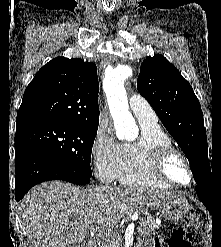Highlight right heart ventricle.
<instances>
[{
    "label": "right heart ventricle",
    "instance_id": "e07e8e85",
    "mask_svg": "<svg viewBox=\"0 0 221 247\" xmlns=\"http://www.w3.org/2000/svg\"><path fill=\"white\" fill-rule=\"evenodd\" d=\"M141 131L138 142L121 145L116 179L124 186L171 188V185L160 181L153 175L147 161L149 149L158 144L173 145L171 139L158 124H141Z\"/></svg>",
    "mask_w": 221,
    "mask_h": 247
}]
</instances>
